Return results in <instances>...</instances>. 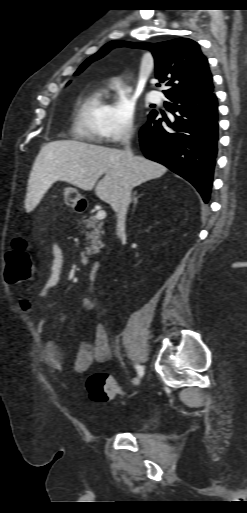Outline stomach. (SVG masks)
Listing matches in <instances>:
<instances>
[{
    "label": "stomach",
    "mask_w": 247,
    "mask_h": 513,
    "mask_svg": "<svg viewBox=\"0 0 247 513\" xmlns=\"http://www.w3.org/2000/svg\"><path fill=\"white\" fill-rule=\"evenodd\" d=\"M65 202L68 206L73 207L77 211L79 202L85 200L78 192L76 188L68 187L65 190Z\"/></svg>",
    "instance_id": "1"
}]
</instances>
